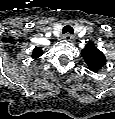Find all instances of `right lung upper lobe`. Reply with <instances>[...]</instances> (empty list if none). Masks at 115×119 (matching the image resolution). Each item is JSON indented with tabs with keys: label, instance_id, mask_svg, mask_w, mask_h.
<instances>
[{
	"label": "right lung upper lobe",
	"instance_id": "right-lung-upper-lobe-1",
	"mask_svg": "<svg viewBox=\"0 0 115 119\" xmlns=\"http://www.w3.org/2000/svg\"><path fill=\"white\" fill-rule=\"evenodd\" d=\"M43 54L42 50L39 47H35L32 52V58H38Z\"/></svg>",
	"mask_w": 115,
	"mask_h": 119
}]
</instances>
